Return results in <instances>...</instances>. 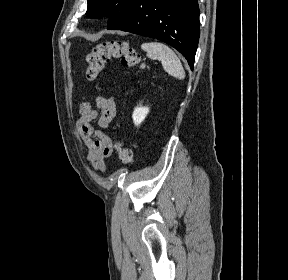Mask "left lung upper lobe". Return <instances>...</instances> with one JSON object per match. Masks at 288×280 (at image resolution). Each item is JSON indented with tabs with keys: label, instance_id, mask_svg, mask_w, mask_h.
Instances as JSON below:
<instances>
[{
	"label": "left lung upper lobe",
	"instance_id": "5c2ea615",
	"mask_svg": "<svg viewBox=\"0 0 288 280\" xmlns=\"http://www.w3.org/2000/svg\"><path fill=\"white\" fill-rule=\"evenodd\" d=\"M135 0H88L86 14L92 18L108 17V26L117 22Z\"/></svg>",
	"mask_w": 288,
	"mask_h": 280
}]
</instances>
